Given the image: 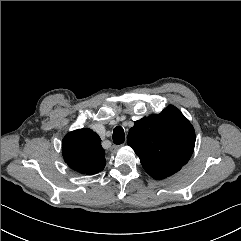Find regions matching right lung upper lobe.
<instances>
[{
    "instance_id": "1",
    "label": "right lung upper lobe",
    "mask_w": 241,
    "mask_h": 241,
    "mask_svg": "<svg viewBox=\"0 0 241 241\" xmlns=\"http://www.w3.org/2000/svg\"><path fill=\"white\" fill-rule=\"evenodd\" d=\"M101 139L91 129L83 128L68 133L62 141V152L68 166L79 172L92 175L106 165Z\"/></svg>"
}]
</instances>
